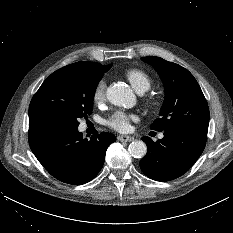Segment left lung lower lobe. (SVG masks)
Wrapping results in <instances>:
<instances>
[{
	"mask_svg": "<svg viewBox=\"0 0 233 233\" xmlns=\"http://www.w3.org/2000/svg\"><path fill=\"white\" fill-rule=\"evenodd\" d=\"M207 127L188 125L164 131V137L154 142L149 137L147 154L140 161L143 173L156 181H170L186 173L202 154Z\"/></svg>",
	"mask_w": 233,
	"mask_h": 233,
	"instance_id": "obj_1",
	"label": "left lung lower lobe"
}]
</instances>
